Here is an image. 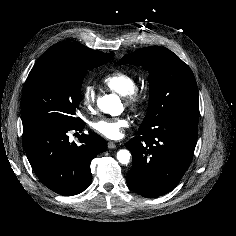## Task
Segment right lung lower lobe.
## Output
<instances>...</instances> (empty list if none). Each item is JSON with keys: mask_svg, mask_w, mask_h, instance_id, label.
<instances>
[{"mask_svg": "<svg viewBox=\"0 0 236 236\" xmlns=\"http://www.w3.org/2000/svg\"><path fill=\"white\" fill-rule=\"evenodd\" d=\"M79 124L39 119L23 124V147L39 180L52 191L72 196L91 183V160L107 149L105 140L89 131L79 138L80 144L69 142L68 132L80 131Z\"/></svg>", "mask_w": 236, "mask_h": 236, "instance_id": "right-lung-lower-lobe-1", "label": "right lung lower lobe"}]
</instances>
